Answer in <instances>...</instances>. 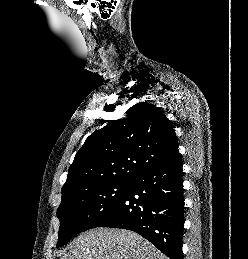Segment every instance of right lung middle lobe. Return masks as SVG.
I'll use <instances>...</instances> for the list:
<instances>
[{
    "label": "right lung middle lobe",
    "mask_w": 248,
    "mask_h": 259,
    "mask_svg": "<svg viewBox=\"0 0 248 259\" xmlns=\"http://www.w3.org/2000/svg\"><path fill=\"white\" fill-rule=\"evenodd\" d=\"M131 181L92 183L69 190L57 210L60 220L57 247L75 235L104 222L129 189Z\"/></svg>",
    "instance_id": "1"
}]
</instances>
